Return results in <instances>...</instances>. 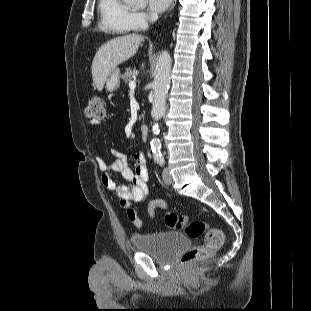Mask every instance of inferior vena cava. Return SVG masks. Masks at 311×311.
<instances>
[{"label":"inferior vena cava","instance_id":"inferior-vena-cava-1","mask_svg":"<svg viewBox=\"0 0 311 311\" xmlns=\"http://www.w3.org/2000/svg\"><path fill=\"white\" fill-rule=\"evenodd\" d=\"M157 18H158L157 15H151L150 17L151 21H155Z\"/></svg>","mask_w":311,"mask_h":311}]
</instances>
